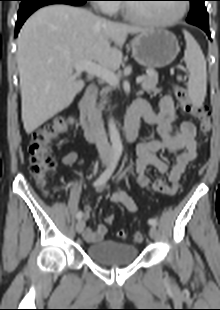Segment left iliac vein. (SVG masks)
<instances>
[{"label":"left iliac vein","instance_id":"left-iliac-vein-1","mask_svg":"<svg viewBox=\"0 0 220 310\" xmlns=\"http://www.w3.org/2000/svg\"><path fill=\"white\" fill-rule=\"evenodd\" d=\"M149 235L152 239H156L158 235V231L156 226L152 225L149 229Z\"/></svg>","mask_w":220,"mask_h":310}]
</instances>
